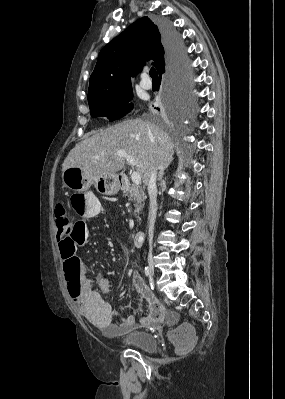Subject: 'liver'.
I'll list each match as a JSON object with an SVG mask.
<instances>
[{
    "label": "liver",
    "mask_w": 285,
    "mask_h": 399,
    "mask_svg": "<svg viewBox=\"0 0 285 399\" xmlns=\"http://www.w3.org/2000/svg\"><path fill=\"white\" fill-rule=\"evenodd\" d=\"M174 144L170 136L153 123L141 119L126 120L78 143L63 162L62 170L79 167L87 175H116L126 159L117 156L125 151L135 160L143 183L148 184L152 167H168L173 160Z\"/></svg>",
    "instance_id": "liver-1"
}]
</instances>
